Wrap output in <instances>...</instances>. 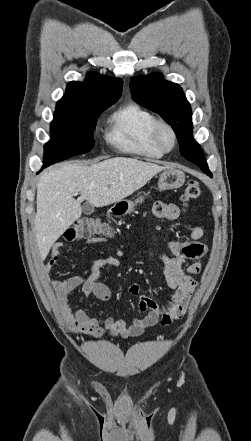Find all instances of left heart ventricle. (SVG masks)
Masks as SVG:
<instances>
[{"instance_id":"left-heart-ventricle-1","label":"left heart ventricle","mask_w":251,"mask_h":441,"mask_svg":"<svg viewBox=\"0 0 251 441\" xmlns=\"http://www.w3.org/2000/svg\"><path fill=\"white\" fill-rule=\"evenodd\" d=\"M161 140L166 147H170L172 145V136L167 130H163L161 132Z\"/></svg>"}]
</instances>
